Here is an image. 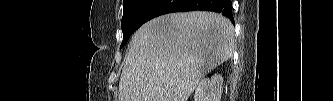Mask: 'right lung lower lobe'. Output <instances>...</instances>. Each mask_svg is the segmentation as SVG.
Returning a JSON list of instances; mask_svg holds the SVG:
<instances>
[{
    "label": "right lung lower lobe",
    "instance_id": "obj_1",
    "mask_svg": "<svg viewBox=\"0 0 333 101\" xmlns=\"http://www.w3.org/2000/svg\"><path fill=\"white\" fill-rule=\"evenodd\" d=\"M195 10L221 13L234 24L231 0H149L139 13L135 27L138 29L145 22L163 14Z\"/></svg>",
    "mask_w": 333,
    "mask_h": 101
}]
</instances>
